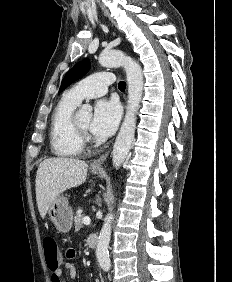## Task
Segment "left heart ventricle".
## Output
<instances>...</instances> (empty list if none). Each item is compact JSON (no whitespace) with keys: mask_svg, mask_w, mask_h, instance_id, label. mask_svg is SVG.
Returning <instances> with one entry per match:
<instances>
[{"mask_svg":"<svg viewBox=\"0 0 232 282\" xmlns=\"http://www.w3.org/2000/svg\"><path fill=\"white\" fill-rule=\"evenodd\" d=\"M77 119L82 127L89 129L91 124V115L89 113L80 112L77 114Z\"/></svg>","mask_w":232,"mask_h":282,"instance_id":"b2bd125f","label":"left heart ventricle"}]
</instances>
